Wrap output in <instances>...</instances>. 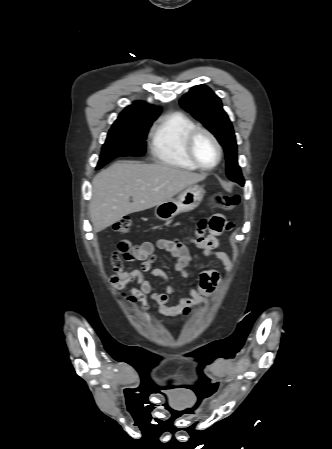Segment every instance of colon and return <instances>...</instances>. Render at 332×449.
<instances>
[{"mask_svg":"<svg viewBox=\"0 0 332 449\" xmlns=\"http://www.w3.org/2000/svg\"><path fill=\"white\" fill-rule=\"evenodd\" d=\"M239 203V197L236 194H215L213 196V204L217 208L230 211L235 208ZM132 222L129 219H121L116 222L114 230L118 233H126L131 229ZM112 263L115 267H120L123 265L124 261H131L134 255L131 250V245L128 241H121L117 249L113 252Z\"/></svg>","mask_w":332,"mask_h":449,"instance_id":"1","label":"colon"}]
</instances>
